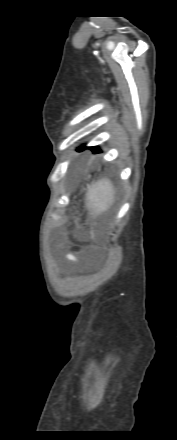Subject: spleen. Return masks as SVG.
Returning a JSON list of instances; mask_svg holds the SVG:
<instances>
[{
    "instance_id": "3e777b00",
    "label": "spleen",
    "mask_w": 177,
    "mask_h": 440,
    "mask_svg": "<svg viewBox=\"0 0 177 440\" xmlns=\"http://www.w3.org/2000/svg\"><path fill=\"white\" fill-rule=\"evenodd\" d=\"M114 189L110 180L102 179L95 183L87 194V206L99 215L106 211L114 201Z\"/></svg>"
}]
</instances>
